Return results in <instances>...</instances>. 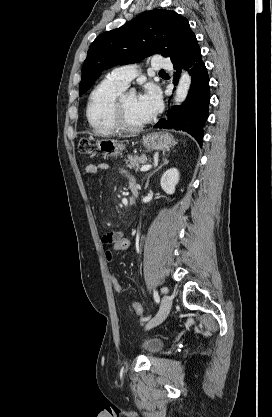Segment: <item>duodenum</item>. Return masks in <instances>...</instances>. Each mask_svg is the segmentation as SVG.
Returning a JSON list of instances; mask_svg holds the SVG:
<instances>
[{
    "label": "duodenum",
    "instance_id": "410a0bca",
    "mask_svg": "<svg viewBox=\"0 0 272 417\" xmlns=\"http://www.w3.org/2000/svg\"><path fill=\"white\" fill-rule=\"evenodd\" d=\"M130 193H131V198L135 200L139 194V187L136 182L130 183Z\"/></svg>",
    "mask_w": 272,
    "mask_h": 417
}]
</instances>
